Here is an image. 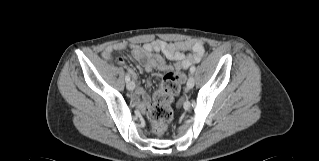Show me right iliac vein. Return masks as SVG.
Returning a JSON list of instances; mask_svg holds the SVG:
<instances>
[{"label": "right iliac vein", "instance_id": "obj_1", "mask_svg": "<svg viewBox=\"0 0 319 161\" xmlns=\"http://www.w3.org/2000/svg\"><path fill=\"white\" fill-rule=\"evenodd\" d=\"M134 87H135V84H134L133 81H129V82L127 83V88H128V90L132 91V90L134 89Z\"/></svg>", "mask_w": 319, "mask_h": 161}]
</instances>
